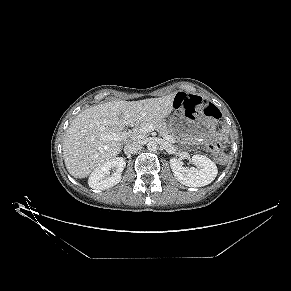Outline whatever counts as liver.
<instances>
[{
  "mask_svg": "<svg viewBox=\"0 0 291 291\" xmlns=\"http://www.w3.org/2000/svg\"><path fill=\"white\" fill-rule=\"evenodd\" d=\"M175 93L139 101H111L79 113L67 129L63 141V157L68 172L85 178L101 164L117 156L120 141L106 136L126 125L167 117L173 110Z\"/></svg>",
  "mask_w": 291,
  "mask_h": 291,
  "instance_id": "obj_1",
  "label": "liver"
}]
</instances>
